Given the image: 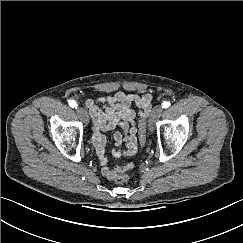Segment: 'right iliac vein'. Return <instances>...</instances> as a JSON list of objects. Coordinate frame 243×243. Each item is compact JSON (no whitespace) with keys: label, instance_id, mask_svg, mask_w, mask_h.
<instances>
[{"label":"right iliac vein","instance_id":"1","mask_svg":"<svg viewBox=\"0 0 243 243\" xmlns=\"http://www.w3.org/2000/svg\"><path fill=\"white\" fill-rule=\"evenodd\" d=\"M76 111H77L78 116H79V117H80L86 124H88V122H89V117H88L87 111H86L83 107H78Z\"/></svg>","mask_w":243,"mask_h":243}]
</instances>
